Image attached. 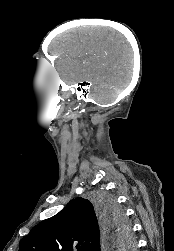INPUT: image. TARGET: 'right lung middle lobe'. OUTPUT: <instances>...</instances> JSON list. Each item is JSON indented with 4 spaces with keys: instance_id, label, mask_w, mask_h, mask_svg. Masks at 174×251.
<instances>
[{
    "instance_id": "dd1d6c3e",
    "label": "right lung middle lobe",
    "mask_w": 174,
    "mask_h": 251,
    "mask_svg": "<svg viewBox=\"0 0 174 251\" xmlns=\"http://www.w3.org/2000/svg\"><path fill=\"white\" fill-rule=\"evenodd\" d=\"M92 202L99 212L105 228L112 236V244L123 250H133L134 242L130 239V227L122 209L107 192L96 193Z\"/></svg>"
}]
</instances>
